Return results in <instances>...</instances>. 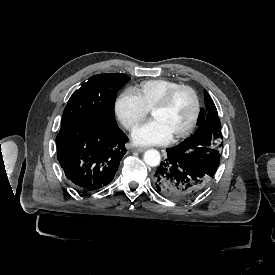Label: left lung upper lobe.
I'll return each mask as SVG.
<instances>
[{
	"label": "left lung upper lobe",
	"instance_id": "left-lung-upper-lobe-1",
	"mask_svg": "<svg viewBox=\"0 0 275 275\" xmlns=\"http://www.w3.org/2000/svg\"><path fill=\"white\" fill-rule=\"evenodd\" d=\"M204 97L205 108H201L199 114L198 130L179 145L170 148L169 152L214 175L219 166V150L223 145L221 123L216 106L206 90Z\"/></svg>",
	"mask_w": 275,
	"mask_h": 275
}]
</instances>
